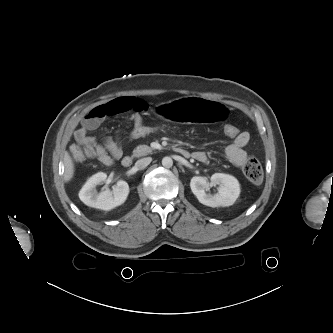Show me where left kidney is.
Wrapping results in <instances>:
<instances>
[{
    "label": "left kidney",
    "instance_id": "1",
    "mask_svg": "<svg viewBox=\"0 0 333 333\" xmlns=\"http://www.w3.org/2000/svg\"><path fill=\"white\" fill-rule=\"evenodd\" d=\"M211 185H219L214 195L205 192ZM190 187L198 201L209 207H228L235 203L240 194L238 180L224 173H215L208 181L207 177L196 176L191 179Z\"/></svg>",
    "mask_w": 333,
    "mask_h": 333
}]
</instances>
